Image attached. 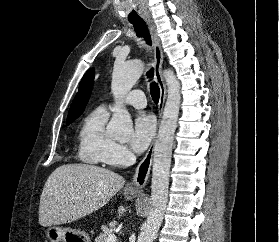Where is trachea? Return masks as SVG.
<instances>
[{
    "instance_id": "obj_1",
    "label": "trachea",
    "mask_w": 279,
    "mask_h": 242,
    "mask_svg": "<svg viewBox=\"0 0 279 242\" xmlns=\"http://www.w3.org/2000/svg\"><path fill=\"white\" fill-rule=\"evenodd\" d=\"M130 23L133 24L136 35L138 37H142L148 45H152L151 37H150L149 31L146 27L145 22L143 20H138V21H130ZM147 77L150 79V81L152 80V78L154 77L153 68H151L147 72ZM150 93H151L153 101L155 103H158L159 98H160V88H159L158 84L154 81H152L150 83Z\"/></svg>"
}]
</instances>
